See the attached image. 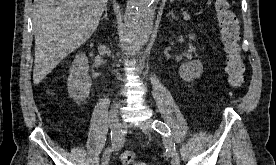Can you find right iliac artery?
Wrapping results in <instances>:
<instances>
[{"mask_svg": "<svg viewBox=\"0 0 276 165\" xmlns=\"http://www.w3.org/2000/svg\"><path fill=\"white\" fill-rule=\"evenodd\" d=\"M111 139L113 140V142H115L116 144H118V146H121L123 143V137L120 134L119 131H112L111 130Z\"/></svg>", "mask_w": 276, "mask_h": 165, "instance_id": "82829eb1", "label": "right iliac artery"}]
</instances>
